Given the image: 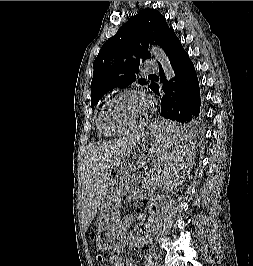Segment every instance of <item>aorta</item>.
Here are the masks:
<instances>
[{"label": "aorta", "instance_id": "1", "mask_svg": "<svg viewBox=\"0 0 253 266\" xmlns=\"http://www.w3.org/2000/svg\"><path fill=\"white\" fill-rule=\"evenodd\" d=\"M150 52L160 62L165 73L166 79L168 81H173L175 78V73L164 50L161 49L159 46H153L150 48Z\"/></svg>", "mask_w": 253, "mask_h": 266}]
</instances>
